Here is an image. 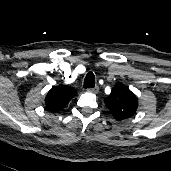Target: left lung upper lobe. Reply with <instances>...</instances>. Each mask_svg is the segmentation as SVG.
Wrapping results in <instances>:
<instances>
[{"label": "left lung upper lobe", "mask_w": 171, "mask_h": 171, "mask_svg": "<svg viewBox=\"0 0 171 171\" xmlns=\"http://www.w3.org/2000/svg\"><path fill=\"white\" fill-rule=\"evenodd\" d=\"M104 102L116 120L129 119L135 115L138 108L137 97L122 83L116 84Z\"/></svg>", "instance_id": "1"}]
</instances>
